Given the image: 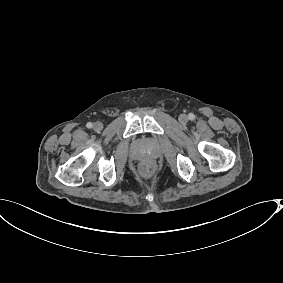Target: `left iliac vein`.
<instances>
[{"mask_svg":"<svg viewBox=\"0 0 283 283\" xmlns=\"http://www.w3.org/2000/svg\"><path fill=\"white\" fill-rule=\"evenodd\" d=\"M179 121L181 123H187L188 122V116L186 114H180L179 115Z\"/></svg>","mask_w":283,"mask_h":283,"instance_id":"1","label":"left iliac vein"}]
</instances>
